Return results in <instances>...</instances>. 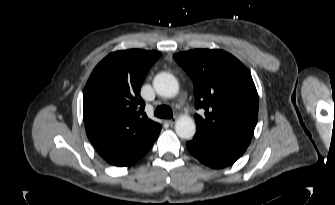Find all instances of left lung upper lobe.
Listing matches in <instances>:
<instances>
[{"label": "left lung upper lobe", "mask_w": 335, "mask_h": 205, "mask_svg": "<svg viewBox=\"0 0 335 205\" xmlns=\"http://www.w3.org/2000/svg\"><path fill=\"white\" fill-rule=\"evenodd\" d=\"M193 81L196 133L247 147L258 119V94L247 68L222 50L195 49L174 54Z\"/></svg>", "instance_id": "5c2ea615"}]
</instances>
